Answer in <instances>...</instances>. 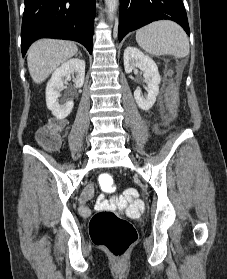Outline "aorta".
Returning <instances> with one entry per match:
<instances>
[{
    "label": "aorta",
    "mask_w": 227,
    "mask_h": 279,
    "mask_svg": "<svg viewBox=\"0 0 227 279\" xmlns=\"http://www.w3.org/2000/svg\"><path fill=\"white\" fill-rule=\"evenodd\" d=\"M107 6L108 17L110 21L114 19V13L118 6V0H105Z\"/></svg>",
    "instance_id": "obj_1"
}]
</instances>
